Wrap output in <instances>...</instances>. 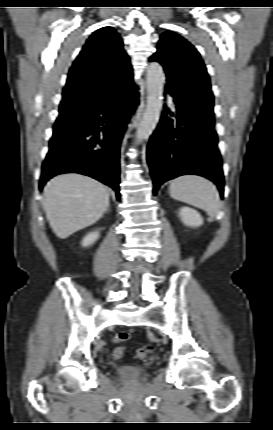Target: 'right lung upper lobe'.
Here are the masks:
<instances>
[{"mask_svg": "<svg viewBox=\"0 0 273 430\" xmlns=\"http://www.w3.org/2000/svg\"><path fill=\"white\" fill-rule=\"evenodd\" d=\"M130 60L112 27L94 32L70 68L61 109L89 107L103 90L133 85Z\"/></svg>", "mask_w": 273, "mask_h": 430, "instance_id": "cb5924a9", "label": "right lung upper lobe"}]
</instances>
